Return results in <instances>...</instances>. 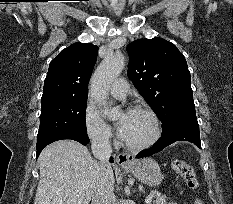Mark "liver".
<instances>
[{"label":"liver","instance_id":"liver-1","mask_svg":"<svg viewBox=\"0 0 233 204\" xmlns=\"http://www.w3.org/2000/svg\"><path fill=\"white\" fill-rule=\"evenodd\" d=\"M39 164L34 204H89L101 170L87 147L73 140L54 142L41 152Z\"/></svg>","mask_w":233,"mask_h":204}]
</instances>
